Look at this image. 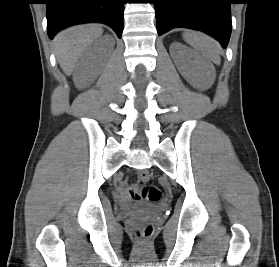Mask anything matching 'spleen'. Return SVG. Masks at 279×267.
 Segmentation results:
<instances>
[{"mask_svg": "<svg viewBox=\"0 0 279 267\" xmlns=\"http://www.w3.org/2000/svg\"><path fill=\"white\" fill-rule=\"evenodd\" d=\"M183 37L188 44L201 52L206 59L217 65L220 64L219 46L212 38L196 32H186Z\"/></svg>", "mask_w": 279, "mask_h": 267, "instance_id": "spleen-1", "label": "spleen"}]
</instances>
